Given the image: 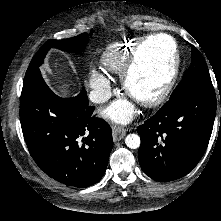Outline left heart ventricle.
<instances>
[{"label": "left heart ventricle", "instance_id": "1", "mask_svg": "<svg viewBox=\"0 0 221 221\" xmlns=\"http://www.w3.org/2000/svg\"><path fill=\"white\" fill-rule=\"evenodd\" d=\"M171 54L172 44L165 37H156L145 45L130 83L134 95L147 97L164 82Z\"/></svg>", "mask_w": 221, "mask_h": 221}]
</instances>
